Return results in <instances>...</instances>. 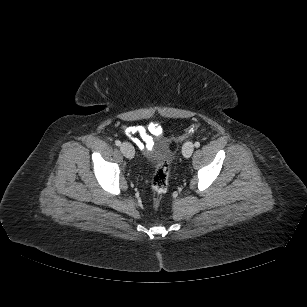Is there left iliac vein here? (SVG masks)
I'll return each mask as SVG.
<instances>
[{"instance_id":"obj_1","label":"left iliac vein","mask_w":307,"mask_h":307,"mask_svg":"<svg viewBox=\"0 0 307 307\" xmlns=\"http://www.w3.org/2000/svg\"><path fill=\"white\" fill-rule=\"evenodd\" d=\"M193 151L194 144L192 142L188 141L183 145L182 153L185 158H189L192 155Z\"/></svg>"}]
</instances>
